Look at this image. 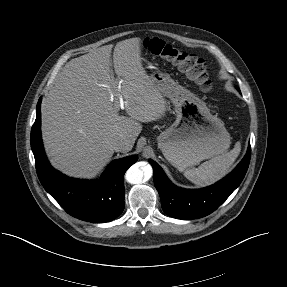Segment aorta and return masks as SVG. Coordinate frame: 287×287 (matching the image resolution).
I'll return each instance as SVG.
<instances>
[{
    "label": "aorta",
    "instance_id": "1",
    "mask_svg": "<svg viewBox=\"0 0 287 287\" xmlns=\"http://www.w3.org/2000/svg\"><path fill=\"white\" fill-rule=\"evenodd\" d=\"M145 174H152L151 166L147 165L144 168H141L139 164H134L127 170L125 179L130 184H139L142 182Z\"/></svg>",
    "mask_w": 287,
    "mask_h": 287
}]
</instances>
